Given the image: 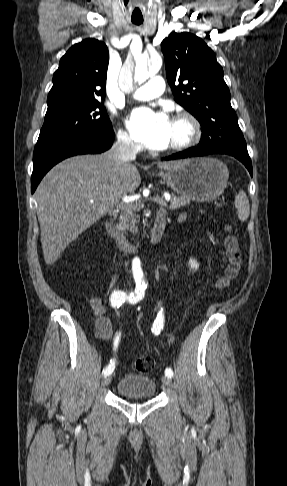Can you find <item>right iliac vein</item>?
<instances>
[{
    "label": "right iliac vein",
    "instance_id": "63e3f726",
    "mask_svg": "<svg viewBox=\"0 0 287 486\" xmlns=\"http://www.w3.org/2000/svg\"><path fill=\"white\" fill-rule=\"evenodd\" d=\"M111 383V376H105L102 380V386H108Z\"/></svg>",
    "mask_w": 287,
    "mask_h": 486
}]
</instances>
